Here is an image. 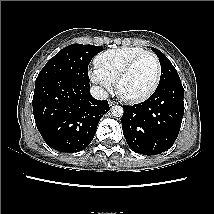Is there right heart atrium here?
I'll return each instance as SVG.
<instances>
[{
  "instance_id": "1",
  "label": "right heart atrium",
  "mask_w": 214,
  "mask_h": 214,
  "mask_svg": "<svg viewBox=\"0 0 214 214\" xmlns=\"http://www.w3.org/2000/svg\"><path fill=\"white\" fill-rule=\"evenodd\" d=\"M90 78L92 82L99 85L105 90H109L113 86V82L108 77H106L105 75L97 71L96 69L90 72Z\"/></svg>"
}]
</instances>
